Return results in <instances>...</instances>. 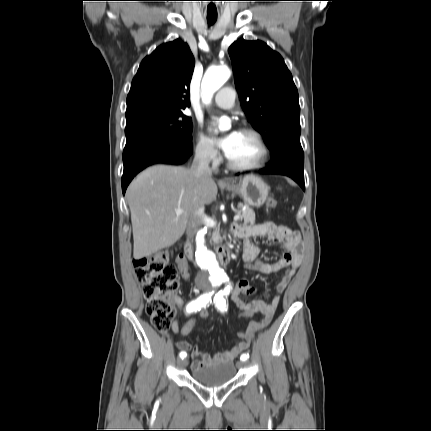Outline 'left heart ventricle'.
<instances>
[{
    "label": "left heart ventricle",
    "mask_w": 431,
    "mask_h": 431,
    "mask_svg": "<svg viewBox=\"0 0 431 431\" xmlns=\"http://www.w3.org/2000/svg\"><path fill=\"white\" fill-rule=\"evenodd\" d=\"M260 153V148L251 135L238 133L227 157L237 164H250L260 157Z\"/></svg>",
    "instance_id": "1"
}]
</instances>
